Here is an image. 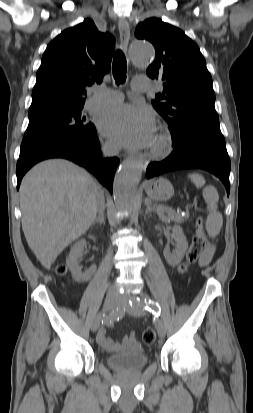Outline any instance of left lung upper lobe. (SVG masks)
<instances>
[{"mask_svg":"<svg viewBox=\"0 0 253 413\" xmlns=\"http://www.w3.org/2000/svg\"><path fill=\"white\" fill-rule=\"evenodd\" d=\"M135 36L149 40L155 47L156 57L147 75L163 82V92L152 104L170 131H179L198 120L219 122L212 78L196 43L179 28L155 17L139 23Z\"/></svg>","mask_w":253,"mask_h":413,"instance_id":"obj_1","label":"left lung upper lobe"}]
</instances>
